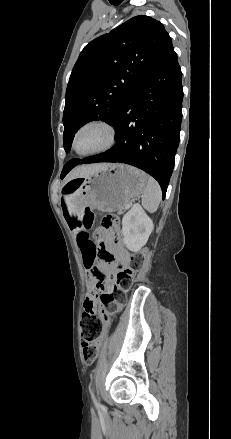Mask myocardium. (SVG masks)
<instances>
[{"instance_id": "1", "label": "myocardium", "mask_w": 231, "mask_h": 439, "mask_svg": "<svg viewBox=\"0 0 231 439\" xmlns=\"http://www.w3.org/2000/svg\"><path fill=\"white\" fill-rule=\"evenodd\" d=\"M91 127L100 128L105 132L106 135L105 142L100 147L94 150L86 151V152L79 151L76 146L77 138L82 131ZM116 142H117V130L115 126L105 119L93 118L83 122L76 128L72 136L71 148L77 155L81 157H90L109 151L115 146Z\"/></svg>"}]
</instances>
